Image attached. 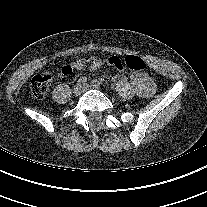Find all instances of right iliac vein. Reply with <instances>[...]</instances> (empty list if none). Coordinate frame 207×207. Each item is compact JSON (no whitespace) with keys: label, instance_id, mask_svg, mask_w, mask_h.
<instances>
[{"label":"right iliac vein","instance_id":"right-iliac-vein-1","mask_svg":"<svg viewBox=\"0 0 207 207\" xmlns=\"http://www.w3.org/2000/svg\"><path fill=\"white\" fill-rule=\"evenodd\" d=\"M82 92V87L80 84H76L72 89V94L75 97H78Z\"/></svg>","mask_w":207,"mask_h":207}]
</instances>
